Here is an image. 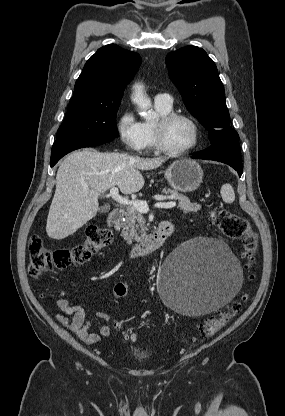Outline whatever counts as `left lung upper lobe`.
<instances>
[{"mask_svg": "<svg viewBox=\"0 0 285 416\" xmlns=\"http://www.w3.org/2000/svg\"><path fill=\"white\" fill-rule=\"evenodd\" d=\"M169 77L190 113L209 131L211 143L239 140L230 126L223 84L215 63L196 46H186L166 57Z\"/></svg>", "mask_w": 285, "mask_h": 416, "instance_id": "5c2ea615", "label": "left lung upper lobe"}]
</instances>
